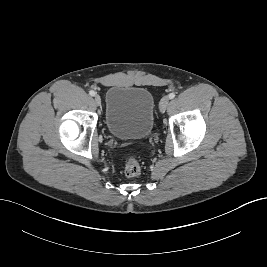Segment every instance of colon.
Instances as JSON below:
<instances>
[{
    "mask_svg": "<svg viewBox=\"0 0 267 267\" xmlns=\"http://www.w3.org/2000/svg\"><path fill=\"white\" fill-rule=\"evenodd\" d=\"M124 169L125 174L130 178L138 177L141 174L140 162L133 154H127Z\"/></svg>",
    "mask_w": 267,
    "mask_h": 267,
    "instance_id": "obj_1",
    "label": "colon"
}]
</instances>
